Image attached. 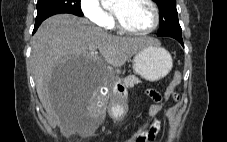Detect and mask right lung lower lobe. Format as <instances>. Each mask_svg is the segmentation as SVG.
I'll list each match as a JSON object with an SVG mask.
<instances>
[{
	"mask_svg": "<svg viewBox=\"0 0 227 142\" xmlns=\"http://www.w3.org/2000/svg\"><path fill=\"white\" fill-rule=\"evenodd\" d=\"M46 18H42V19H36V23H35V27L33 30V33H35V31L37 30V28L39 27V25L42 23V21H44Z\"/></svg>",
	"mask_w": 227,
	"mask_h": 142,
	"instance_id": "obj_1",
	"label": "right lung lower lobe"
}]
</instances>
